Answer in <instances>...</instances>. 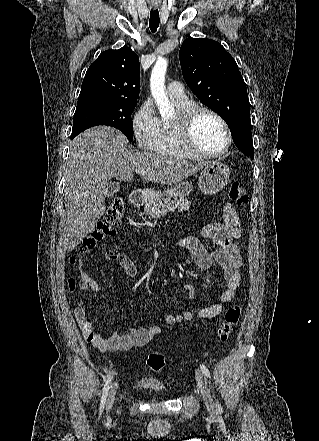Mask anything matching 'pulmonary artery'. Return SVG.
<instances>
[{
	"mask_svg": "<svg viewBox=\"0 0 319 441\" xmlns=\"http://www.w3.org/2000/svg\"><path fill=\"white\" fill-rule=\"evenodd\" d=\"M167 92L170 98L178 102H187L188 98L181 83L173 81L168 85Z\"/></svg>",
	"mask_w": 319,
	"mask_h": 441,
	"instance_id": "1",
	"label": "pulmonary artery"
}]
</instances>
